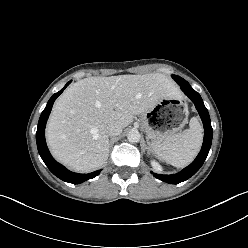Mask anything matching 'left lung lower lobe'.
I'll return each instance as SVG.
<instances>
[{
	"instance_id": "0a47b994",
	"label": "left lung lower lobe",
	"mask_w": 248,
	"mask_h": 248,
	"mask_svg": "<svg viewBox=\"0 0 248 248\" xmlns=\"http://www.w3.org/2000/svg\"><path fill=\"white\" fill-rule=\"evenodd\" d=\"M180 87L182 91L193 101L196 109L199 112L204 126V140L201 151L196 159L188 167L184 168L180 173L174 175H159L155 173L153 174L154 177H156L157 179L170 184H178L180 182L186 181L200 169L209 153L213 136L209 113L203 103L200 94L197 93L190 85Z\"/></svg>"
}]
</instances>
